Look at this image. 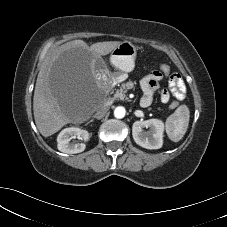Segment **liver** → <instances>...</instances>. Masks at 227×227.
Instances as JSON below:
<instances>
[{
    "label": "liver",
    "instance_id": "obj_1",
    "mask_svg": "<svg viewBox=\"0 0 227 227\" xmlns=\"http://www.w3.org/2000/svg\"><path fill=\"white\" fill-rule=\"evenodd\" d=\"M120 41L97 42L88 46L74 40L53 48L38 73L33 112L39 132L48 137L74 121L71 101L98 83L95 58L108 55Z\"/></svg>",
    "mask_w": 227,
    "mask_h": 227
}]
</instances>
